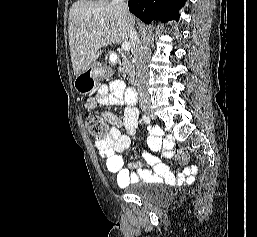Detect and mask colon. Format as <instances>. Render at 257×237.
Listing matches in <instances>:
<instances>
[{
	"label": "colon",
	"instance_id": "5ec220e1",
	"mask_svg": "<svg viewBox=\"0 0 257 237\" xmlns=\"http://www.w3.org/2000/svg\"><path fill=\"white\" fill-rule=\"evenodd\" d=\"M88 130L94 138L103 140L108 134V124L105 119L96 115H89L86 119ZM178 153L182 156L183 150L178 149Z\"/></svg>",
	"mask_w": 257,
	"mask_h": 237
}]
</instances>
